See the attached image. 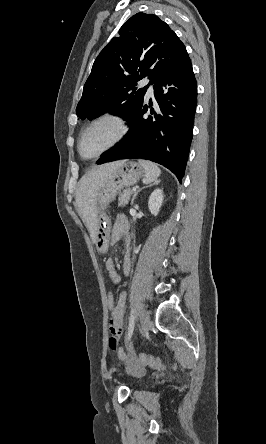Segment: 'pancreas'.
I'll return each mask as SVG.
<instances>
[{
  "instance_id": "obj_1",
  "label": "pancreas",
  "mask_w": 266,
  "mask_h": 444,
  "mask_svg": "<svg viewBox=\"0 0 266 444\" xmlns=\"http://www.w3.org/2000/svg\"><path fill=\"white\" fill-rule=\"evenodd\" d=\"M132 193L133 191L131 189H125L122 193H120L118 198V206L123 207L127 205Z\"/></svg>"
}]
</instances>
